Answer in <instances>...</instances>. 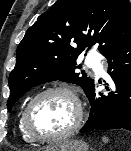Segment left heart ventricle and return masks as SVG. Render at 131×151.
<instances>
[{
    "mask_svg": "<svg viewBox=\"0 0 131 151\" xmlns=\"http://www.w3.org/2000/svg\"><path fill=\"white\" fill-rule=\"evenodd\" d=\"M74 119V105L62 94L39 99L29 114V126L39 136H53L66 130Z\"/></svg>",
    "mask_w": 131,
    "mask_h": 151,
    "instance_id": "obj_1",
    "label": "left heart ventricle"
}]
</instances>
